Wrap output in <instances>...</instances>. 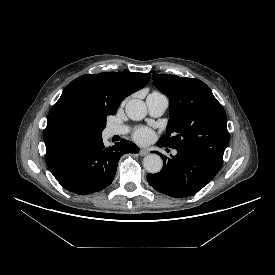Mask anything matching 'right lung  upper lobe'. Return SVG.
<instances>
[{"label": "right lung upper lobe", "instance_id": "1", "mask_svg": "<svg viewBox=\"0 0 275 275\" xmlns=\"http://www.w3.org/2000/svg\"><path fill=\"white\" fill-rule=\"evenodd\" d=\"M150 77L148 73L124 71L76 78L64 89L48 114L43 135L45 145L78 139L71 124L78 113L97 109L117 111L121 101L145 87Z\"/></svg>", "mask_w": 275, "mask_h": 275}]
</instances>
